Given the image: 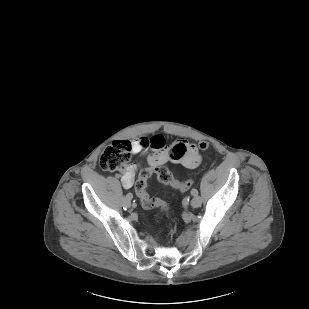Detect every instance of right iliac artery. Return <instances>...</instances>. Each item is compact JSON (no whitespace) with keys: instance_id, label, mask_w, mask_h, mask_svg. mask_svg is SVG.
<instances>
[{"instance_id":"1","label":"right iliac artery","mask_w":309,"mask_h":309,"mask_svg":"<svg viewBox=\"0 0 309 309\" xmlns=\"http://www.w3.org/2000/svg\"><path fill=\"white\" fill-rule=\"evenodd\" d=\"M125 197H126V199H128V200H129V199H131V198H132V194L128 193V194H126V196H125Z\"/></svg>"}]
</instances>
